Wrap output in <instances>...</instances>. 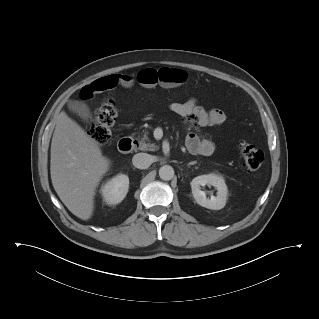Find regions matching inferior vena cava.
I'll return each instance as SVG.
<instances>
[{
    "instance_id": "inferior-vena-cava-1",
    "label": "inferior vena cava",
    "mask_w": 319,
    "mask_h": 319,
    "mask_svg": "<svg viewBox=\"0 0 319 319\" xmlns=\"http://www.w3.org/2000/svg\"><path fill=\"white\" fill-rule=\"evenodd\" d=\"M132 163L138 169H146L151 165L150 155L147 153H137L133 156Z\"/></svg>"
}]
</instances>
